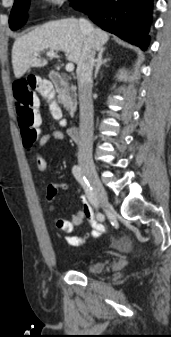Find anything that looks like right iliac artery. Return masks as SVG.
Masks as SVG:
<instances>
[{"label": "right iliac artery", "instance_id": "1", "mask_svg": "<svg viewBox=\"0 0 171 337\" xmlns=\"http://www.w3.org/2000/svg\"><path fill=\"white\" fill-rule=\"evenodd\" d=\"M72 173L74 175V177L76 178V180L81 184V186L83 187L85 194L88 198V200L90 201V203L96 208L98 209L99 207V203L98 200L95 196V193L93 192L92 187L90 186L88 180L86 179V177L83 175V172L81 170V168L78 165L73 166L72 168ZM97 219L99 221H104V215L101 212L97 213Z\"/></svg>", "mask_w": 171, "mask_h": 337}]
</instances>
